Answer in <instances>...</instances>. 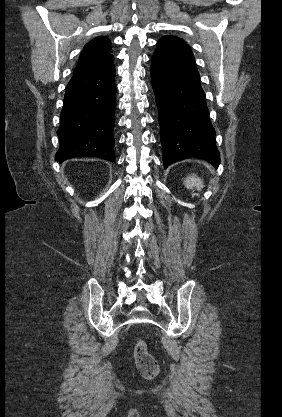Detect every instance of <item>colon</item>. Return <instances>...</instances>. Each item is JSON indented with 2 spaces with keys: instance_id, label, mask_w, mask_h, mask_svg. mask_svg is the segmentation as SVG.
Listing matches in <instances>:
<instances>
[{
  "instance_id": "obj_1",
  "label": "colon",
  "mask_w": 282,
  "mask_h": 417,
  "mask_svg": "<svg viewBox=\"0 0 282 417\" xmlns=\"http://www.w3.org/2000/svg\"><path fill=\"white\" fill-rule=\"evenodd\" d=\"M134 348L136 352L135 355V364L140 374L145 378H154L159 370L157 360L148 352L146 342L138 338L135 342Z\"/></svg>"
}]
</instances>
